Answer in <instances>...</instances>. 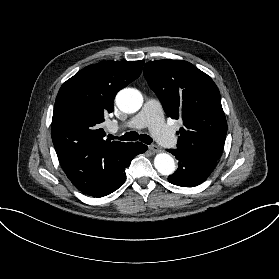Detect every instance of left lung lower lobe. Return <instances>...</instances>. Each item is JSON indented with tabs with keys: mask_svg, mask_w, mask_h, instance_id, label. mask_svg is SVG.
<instances>
[{
	"mask_svg": "<svg viewBox=\"0 0 279 279\" xmlns=\"http://www.w3.org/2000/svg\"><path fill=\"white\" fill-rule=\"evenodd\" d=\"M179 160L177 171L168 177L170 183L182 187H194L204 182L216 166L217 161L182 151L168 149Z\"/></svg>",
	"mask_w": 279,
	"mask_h": 279,
	"instance_id": "left-lung-lower-lobe-1",
	"label": "left lung lower lobe"
}]
</instances>
